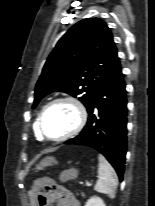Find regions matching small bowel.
<instances>
[{
  "instance_id": "c3829d8e",
  "label": "small bowel",
  "mask_w": 155,
  "mask_h": 206,
  "mask_svg": "<svg viewBox=\"0 0 155 206\" xmlns=\"http://www.w3.org/2000/svg\"><path fill=\"white\" fill-rule=\"evenodd\" d=\"M51 193L50 198L56 206H81L78 199L64 187L54 185ZM31 196H35V194L31 192ZM45 206H47V203Z\"/></svg>"
}]
</instances>
